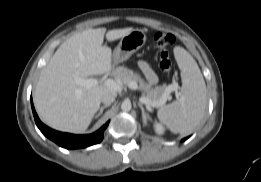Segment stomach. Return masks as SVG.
<instances>
[{"label": "stomach", "mask_w": 261, "mask_h": 182, "mask_svg": "<svg viewBox=\"0 0 261 182\" xmlns=\"http://www.w3.org/2000/svg\"><path fill=\"white\" fill-rule=\"evenodd\" d=\"M146 42V34L141 29H134L123 36L114 49L112 61L114 65L126 61L133 53L138 51Z\"/></svg>", "instance_id": "0dacf381"}]
</instances>
